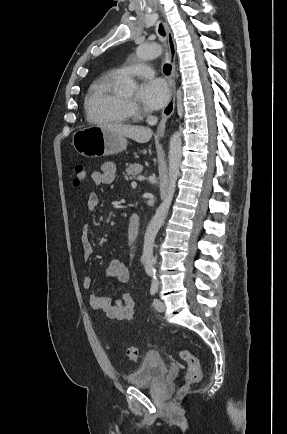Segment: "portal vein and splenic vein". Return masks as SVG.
<instances>
[{"mask_svg":"<svg viewBox=\"0 0 287 434\" xmlns=\"http://www.w3.org/2000/svg\"><path fill=\"white\" fill-rule=\"evenodd\" d=\"M131 186H132V188H136L137 183H136L135 181H133V182L131 183Z\"/></svg>","mask_w":287,"mask_h":434,"instance_id":"18ae733b","label":"portal vein and splenic vein"}]
</instances>
